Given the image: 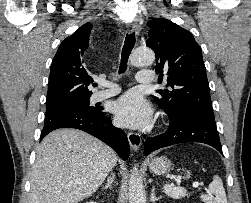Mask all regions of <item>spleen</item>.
<instances>
[{
  "mask_svg": "<svg viewBox=\"0 0 251 203\" xmlns=\"http://www.w3.org/2000/svg\"><path fill=\"white\" fill-rule=\"evenodd\" d=\"M208 191V195H201V199L204 203H227L225 189L219 176H214L213 181L209 184ZM164 192L174 199H179L187 195L185 188L175 187L174 185H165ZM212 195H214V197Z\"/></svg>",
  "mask_w": 251,
  "mask_h": 203,
  "instance_id": "obj_1",
  "label": "spleen"
}]
</instances>
